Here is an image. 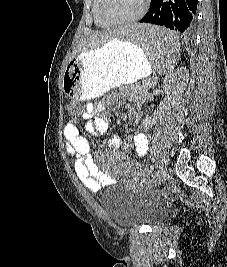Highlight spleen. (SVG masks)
Returning a JSON list of instances; mask_svg holds the SVG:
<instances>
[{
	"label": "spleen",
	"mask_w": 227,
	"mask_h": 267,
	"mask_svg": "<svg viewBox=\"0 0 227 267\" xmlns=\"http://www.w3.org/2000/svg\"><path fill=\"white\" fill-rule=\"evenodd\" d=\"M117 30H127L120 33L119 40L124 43H137L142 47L148 63H152L153 77H170L180 56L181 45L175 35L159 27V23L126 22L117 25Z\"/></svg>",
	"instance_id": "obj_1"
}]
</instances>
